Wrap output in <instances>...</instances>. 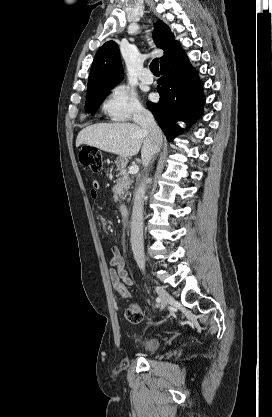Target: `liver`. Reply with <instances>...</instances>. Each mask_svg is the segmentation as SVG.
I'll list each match as a JSON object with an SVG mask.
<instances>
[{"label":"liver","instance_id":"liver-1","mask_svg":"<svg viewBox=\"0 0 272 417\" xmlns=\"http://www.w3.org/2000/svg\"><path fill=\"white\" fill-rule=\"evenodd\" d=\"M81 144L126 158L137 155L141 149L144 166L151 162L154 154V142L149 133L134 123H100L88 126L77 136L76 147Z\"/></svg>","mask_w":272,"mask_h":417}]
</instances>
